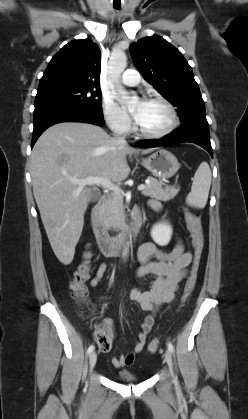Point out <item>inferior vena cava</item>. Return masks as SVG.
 <instances>
[{
	"instance_id": "602c4592",
	"label": "inferior vena cava",
	"mask_w": 248,
	"mask_h": 419,
	"mask_svg": "<svg viewBox=\"0 0 248 419\" xmlns=\"http://www.w3.org/2000/svg\"><path fill=\"white\" fill-rule=\"evenodd\" d=\"M117 140L120 144H126V140L123 137L117 136Z\"/></svg>"
}]
</instances>
